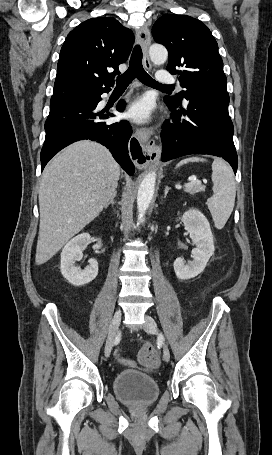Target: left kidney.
<instances>
[{
	"mask_svg": "<svg viewBox=\"0 0 272 455\" xmlns=\"http://www.w3.org/2000/svg\"><path fill=\"white\" fill-rule=\"evenodd\" d=\"M180 220L196 245L192 251V262L185 264L182 258H177L173 264L176 276L179 279L187 280L203 272L214 253V241L210 224L205 215L198 209L186 211Z\"/></svg>",
	"mask_w": 272,
	"mask_h": 455,
	"instance_id": "5707ae66",
	"label": "left kidney"
}]
</instances>
